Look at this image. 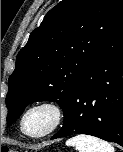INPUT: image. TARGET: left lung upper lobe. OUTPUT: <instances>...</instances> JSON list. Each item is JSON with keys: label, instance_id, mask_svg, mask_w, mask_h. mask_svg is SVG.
<instances>
[{"label": "left lung upper lobe", "instance_id": "obj_1", "mask_svg": "<svg viewBox=\"0 0 123 152\" xmlns=\"http://www.w3.org/2000/svg\"><path fill=\"white\" fill-rule=\"evenodd\" d=\"M122 5L121 0H63L45 15L9 77V125L36 101H54L64 109Z\"/></svg>", "mask_w": 123, "mask_h": 152}]
</instances>
